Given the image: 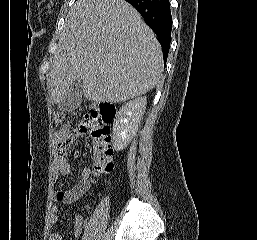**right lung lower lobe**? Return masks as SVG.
<instances>
[{
  "label": "right lung lower lobe",
  "mask_w": 257,
  "mask_h": 240,
  "mask_svg": "<svg viewBox=\"0 0 257 240\" xmlns=\"http://www.w3.org/2000/svg\"><path fill=\"white\" fill-rule=\"evenodd\" d=\"M141 14L146 24L158 36L163 49L164 63H166L172 29V17L169 0H126Z\"/></svg>",
  "instance_id": "1"
}]
</instances>
